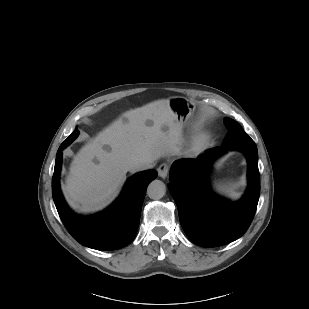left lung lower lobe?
Returning a JSON list of instances; mask_svg holds the SVG:
<instances>
[{
  "label": "left lung lower lobe",
  "instance_id": "obj_1",
  "mask_svg": "<svg viewBox=\"0 0 309 309\" xmlns=\"http://www.w3.org/2000/svg\"><path fill=\"white\" fill-rule=\"evenodd\" d=\"M227 150H240L248 160L249 186L243 199L231 203L210 191L206 175L212 161ZM171 194L186 235L199 246L216 247L240 238L250 226L260 195L258 152L251 140L205 151L197 159H180L170 171Z\"/></svg>",
  "mask_w": 309,
  "mask_h": 309
}]
</instances>
